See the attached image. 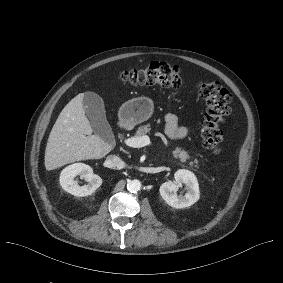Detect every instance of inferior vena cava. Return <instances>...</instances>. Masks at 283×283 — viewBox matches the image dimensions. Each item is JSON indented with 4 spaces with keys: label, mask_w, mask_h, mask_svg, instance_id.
I'll return each instance as SVG.
<instances>
[{
    "label": "inferior vena cava",
    "mask_w": 283,
    "mask_h": 283,
    "mask_svg": "<svg viewBox=\"0 0 283 283\" xmlns=\"http://www.w3.org/2000/svg\"><path fill=\"white\" fill-rule=\"evenodd\" d=\"M108 166L113 169H120L123 167L124 162L117 156L111 155L107 158Z\"/></svg>",
    "instance_id": "602c4592"
}]
</instances>
